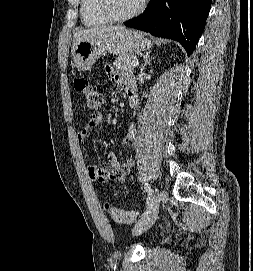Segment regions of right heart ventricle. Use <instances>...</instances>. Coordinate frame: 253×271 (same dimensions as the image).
<instances>
[{
  "instance_id": "1",
  "label": "right heart ventricle",
  "mask_w": 253,
  "mask_h": 271,
  "mask_svg": "<svg viewBox=\"0 0 253 271\" xmlns=\"http://www.w3.org/2000/svg\"><path fill=\"white\" fill-rule=\"evenodd\" d=\"M80 17L84 26L99 27L108 24V21L98 9V0H81Z\"/></svg>"
}]
</instances>
